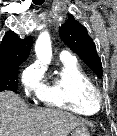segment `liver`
<instances>
[{
  "label": "liver",
  "instance_id": "6515ba94",
  "mask_svg": "<svg viewBox=\"0 0 117 136\" xmlns=\"http://www.w3.org/2000/svg\"><path fill=\"white\" fill-rule=\"evenodd\" d=\"M84 121L53 108L31 109L11 91L0 92V136H68Z\"/></svg>",
  "mask_w": 117,
  "mask_h": 136
}]
</instances>
